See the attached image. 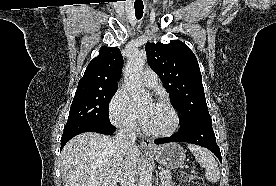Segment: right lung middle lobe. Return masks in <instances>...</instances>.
Instances as JSON below:
<instances>
[{
	"label": "right lung middle lobe",
	"mask_w": 276,
	"mask_h": 186,
	"mask_svg": "<svg viewBox=\"0 0 276 186\" xmlns=\"http://www.w3.org/2000/svg\"><path fill=\"white\" fill-rule=\"evenodd\" d=\"M116 91L117 88L78 89L65 126L81 122L110 123L109 101Z\"/></svg>",
	"instance_id": "right-lung-middle-lobe-1"
}]
</instances>
